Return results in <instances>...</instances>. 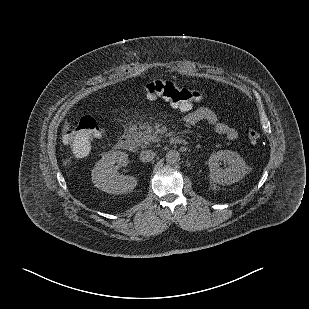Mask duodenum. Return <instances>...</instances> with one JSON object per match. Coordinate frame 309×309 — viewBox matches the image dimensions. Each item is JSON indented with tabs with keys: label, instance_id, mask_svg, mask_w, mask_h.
<instances>
[{
	"label": "duodenum",
	"instance_id": "duodenum-1",
	"mask_svg": "<svg viewBox=\"0 0 309 309\" xmlns=\"http://www.w3.org/2000/svg\"><path fill=\"white\" fill-rule=\"evenodd\" d=\"M174 142L178 144H186V140L181 138H174ZM118 146L120 149L133 151L135 149V143L129 137H123L119 140Z\"/></svg>",
	"mask_w": 309,
	"mask_h": 309
}]
</instances>
